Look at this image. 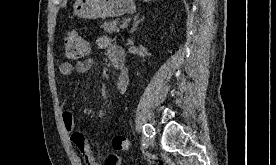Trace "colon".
I'll use <instances>...</instances> for the list:
<instances>
[{
    "instance_id": "colon-1",
    "label": "colon",
    "mask_w": 276,
    "mask_h": 165,
    "mask_svg": "<svg viewBox=\"0 0 276 165\" xmlns=\"http://www.w3.org/2000/svg\"><path fill=\"white\" fill-rule=\"evenodd\" d=\"M65 57L69 61L80 60L88 51L86 40L74 30L68 31L64 37ZM112 146L116 151L129 148V140L125 136L117 135L112 139Z\"/></svg>"
}]
</instances>
